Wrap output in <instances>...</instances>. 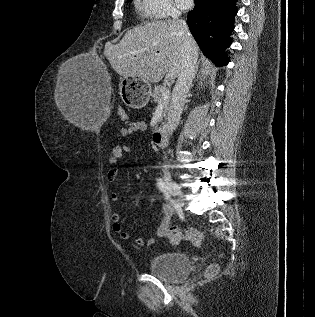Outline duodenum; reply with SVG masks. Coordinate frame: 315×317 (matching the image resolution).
I'll list each match as a JSON object with an SVG mask.
<instances>
[{
  "instance_id": "1",
  "label": "duodenum",
  "mask_w": 315,
  "mask_h": 317,
  "mask_svg": "<svg viewBox=\"0 0 315 317\" xmlns=\"http://www.w3.org/2000/svg\"><path fill=\"white\" fill-rule=\"evenodd\" d=\"M153 140L154 142L160 146L165 147L167 142V134L163 128H157L153 133Z\"/></svg>"
}]
</instances>
